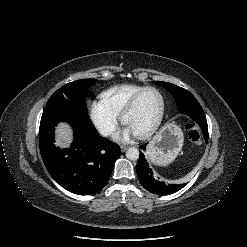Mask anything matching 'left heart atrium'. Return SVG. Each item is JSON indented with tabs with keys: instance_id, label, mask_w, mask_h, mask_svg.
I'll list each match as a JSON object with an SVG mask.
<instances>
[{
	"instance_id": "39dd6f15",
	"label": "left heart atrium",
	"mask_w": 247,
	"mask_h": 247,
	"mask_svg": "<svg viewBox=\"0 0 247 247\" xmlns=\"http://www.w3.org/2000/svg\"><path fill=\"white\" fill-rule=\"evenodd\" d=\"M135 133L127 125L115 135V138L120 141L128 140Z\"/></svg>"
}]
</instances>
